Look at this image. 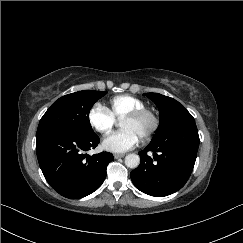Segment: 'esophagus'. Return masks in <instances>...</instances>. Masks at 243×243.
Here are the masks:
<instances>
[{
	"label": "esophagus",
	"instance_id": "esophagus-1",
	"mask_svg": "<svg viewBox=\"0 0 243 243\" xmlns=\"http://www.w3.org/2000/svg\"><path fill=\"white\" fill-rule=\"evenodd\" d=\"M124 156H125V154H114L115 159L123 158Z\"/></svg>",
	"mask_w": 243,
	"mask_h": 243
}]
</instances>
